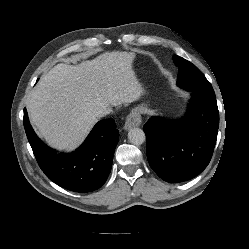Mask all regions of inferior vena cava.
Returning <instances> with one entry per match:
<instances>
[{"instance_id":"1","label":"inferior vena cava","mask_w":249,"mask_h":249,"mask_svg":"<svg viewBox=\"0 0 249 249\" xmlns=\"http://www.w3.org/2000/svg\"><path fill=\"white\" fill-rule=\"evenodd\" d=\"M112 112V109L111 108H109V107H104V108H102L101 110H99L97 113H96V116L97 117H102V116H105V115H107V114H109V113H111Z\"/></svg>"}]
</instances>
